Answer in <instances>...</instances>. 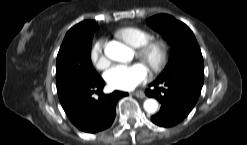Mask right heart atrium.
<instances>
[{"label":"right heart atrium","mask_w":247,"mask_h":145,"mask_svg":"<svg viewBox=\"0 0 247 145\" xmlns=\"http://www.w3.org/2000/svg\"><path fill=\"white\" fill-rule=\"evenodd\" d=\"M90 61L94 67L99 70L106 68L109 64V59L104 52V40H96L90 49Z\"/></svg>","instance_id":"1"}]
</instances>
